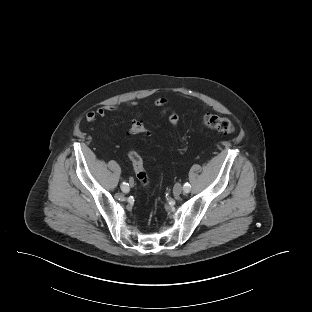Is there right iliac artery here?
<instances>
[{"label":"right iliac artery","mask_w":312,"mask_h":312,"mask_svg":"<svg viewBox=\"0 0 312 312\" xmlns=\"http://www.w3.org/2000/svg\"><path fill=\"white\" fill-rule=\"evenodd\" d=\"M121 189H122L123 192H128L129 191V184L126 183V182H123L121 184Z\"/></svg>","instance_id":"obj_1"}]
</instances>
